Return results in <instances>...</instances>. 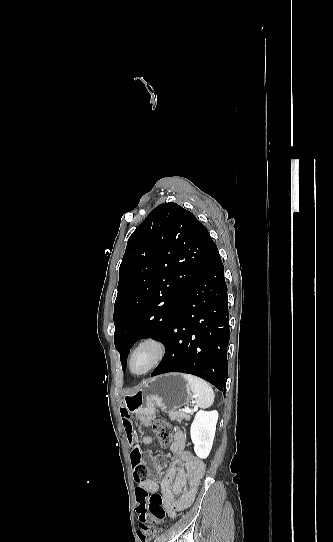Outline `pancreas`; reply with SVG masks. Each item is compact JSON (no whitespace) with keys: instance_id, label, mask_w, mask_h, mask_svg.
Returning <instances> with one entry per match:
<instances>
[{"instance_id":"obj_1","label":"pancreas","mask_w":333,"mask_h":542,"mask_svg":"<svg viewBox=\"0 0 333 542\" xmlns=\"http://www.w3.org/2000/svg\"><path fill=\"white\" fill-rule=\"evenodd\" d=\"M167 414L170 420H178V422H182V420H187V422H189L190 420L189 414H186V412H183V410H179V412H176V410H170V412H167Z\"/></svg>"}]
</instances>
